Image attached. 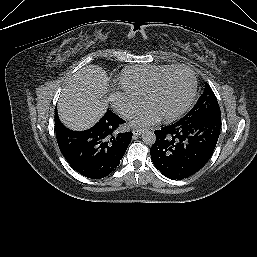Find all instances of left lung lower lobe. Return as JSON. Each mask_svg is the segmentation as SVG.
Segmentation results:
<instances>
[{"label": "left lung lower lobe", "mask_w": 257, "mask_h": 257, "mask_svg": "<svg viewBox=\"0 0 257 257\" xmlns=\"http://www.w3.org/2000/svg\"><path fill=\"white\" fill-rule=\"evenodd\" d=\"M221 129V116L177 122L156 130L150 149L155 167L167 178L181 180L202 169L212 156Z\"/></svg>", "instance_id": "0a47b994"}]
</instances>
